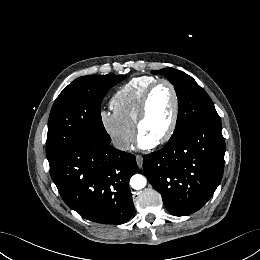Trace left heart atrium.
<instances>
[{
    "instance_id": "39dd6f15",
    "label": "left heart atrium",
    "mask_w": 260,
    "mask_h": 260,
    "mask_svg": "<svg viewBox=\"0 0 260 260\" xmlns=\"http://www.w3.org/2000/svg\"><path fill=\"white\" fill-rule=\"evenodd\" d=\"M137 143L140 148L149 149V148H152L156 144V141L152 138H149L145 135L140 134Z\"/></svg>"
}]
</instances>
